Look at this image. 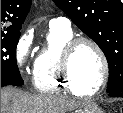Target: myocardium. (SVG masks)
I'll return each instance as SVG.
<instances>
[{"mask_svg":"<svg viewBox=\"0 0 123 113\" xmlns=\"http://www.w3.org/2000/svg\"><path fill=\"white\" fill-rule=\"evenodd\" d=\"M82 44H88L90 45L98 54L101 64H102V77L101 80L98 84V86L92 90V91H85L84 89L78 87L72 77V72H71V62L72 58L77 51V49L82 45ZM109 62L107 59V56L101 46L92 38L89 37H73L71 38L64 46L63 52H62V57H61V73L65 81L67 82L68 86L80 93L82 96L86 97H92L95 95H98L99 93L102 92V90L105 88L108 79H109Z\"/></svg>","mask_w":123,"mask_h":113,"instance_id":"myocardium-1","label":"myocardium"}]
</instances>
